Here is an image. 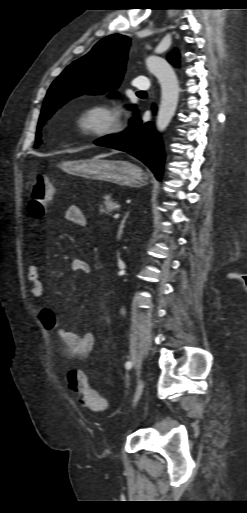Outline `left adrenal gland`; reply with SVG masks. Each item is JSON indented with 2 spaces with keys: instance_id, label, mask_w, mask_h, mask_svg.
<instances>
[{
  "instance_id": "obj_1",
  "label": "left adrenal gland",
  "mask_w": 247,
  "mask_h": 513,
  "mask_svg": "<svg viewBox=\"0 0 247 513\" xmlns=\"http://www.w3.org/2000/svg\"><path fill=\"white\" fill-rule=\"evenodd\" d=\"M128 216H129V212H126L125 216L123 217L122 221L120 222L118 232H117L118 239H121V236L123 234V228L125 227L126 219L128 218Z\"/></svg>"
}]
</instances>
